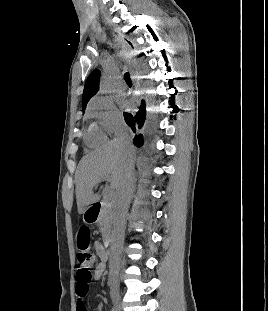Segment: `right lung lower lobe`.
Wrapping results in <instances>:
<instances>
[{"label": "right lung lower lobe", "mask_w": 268, "mask_h": 311, "mask_svg": "<svg viewBox=\"0 0 268 311\" xmlns=\"http://www.w3.org/2000/svg\"><path fill=\"white\" fill-rule=\"evenodd\" d=\"M125 122L133 132L137 131L133 139V143L137 147H141L144 142L143 134L146 136L147 133H150L154 130V121L149 114L146 112L145 101L142 100L139 106V110L136 113H127L124 112Z\"/></svg>", "instance_id": "98d812e1"}]
</instances>
